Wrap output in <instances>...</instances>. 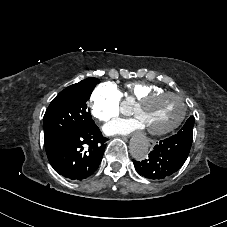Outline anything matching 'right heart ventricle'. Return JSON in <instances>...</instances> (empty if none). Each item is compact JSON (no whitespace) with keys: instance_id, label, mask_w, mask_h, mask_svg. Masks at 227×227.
<instances>
[{"instance_id":"1","label":"right heart ventricle","mask_w":227,"mask_h":227,"mask_svg":"<svg viewBox=\"0 0 227 227\" xmlns=\"http://www.w3.org/2000/svg\"><path fill=\"white\" fill-rule=\"evenodd\" d=\"M125 88L126 90L124 92H120V94L121 98L126 101L129 99L137 101L138 99L142 98L147 94L164 90L161 86L157 84L149 83L142 80L129 82L125 85Z\"/></svg>"}]
</instances>
